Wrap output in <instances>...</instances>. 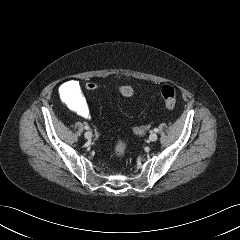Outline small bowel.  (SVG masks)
I'll return each mask as SVG.
<instances>
[{"mask_svg":"<svg viewBox=\"0 0 240 240\" xmlns=\"http://www.w3.org/2000/svg\"><path fill=\"white\" fill-rule=\"evenodd\" d=\"M60 93L70 109L84 118L89 117V108L78 81L70 80L65 82L60 88ZM146 131V125L136 126L133 129L134 134L139 137H142Z\"/></svg>","mask_w":240,"mask_h":240,"instance_id":"obj_1","label":"small bowel"}]
</instances>
